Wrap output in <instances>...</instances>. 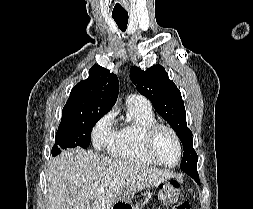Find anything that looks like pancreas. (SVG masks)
Segmentation results:
<instances>
[{"label":"pancreas","mask_w":253,"mask_h":209,"mask_svg":"<svg viewBox=\"0 0 253 209\" xmlns=\"http://www.w3.org/2000/svg\"><path fill=\"white\" fill-rule=\"evenodd\" d=\"M146 203H147V202L140 203L139 205L137 204L135 209H144Z\"/></svg>","instance_id":"obj_1"}]
</instances>
